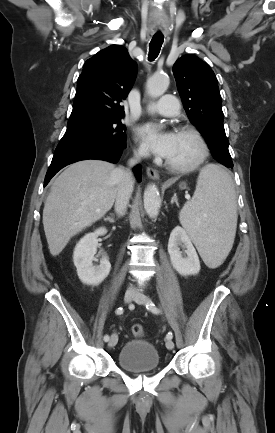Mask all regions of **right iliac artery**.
Instances as JSON below:
<instances>
[{
	"instance_id": "1",
	"label": "right iliac artery",
	"mask_w": 275,
	"mask_h": 433,
	"mask_svg": "<svg viewBox=\"0 0 275 433\" xmlns=\"http://www.w3.org/2000/svg\"><path fill=\"white\" fill-rule=\"evenodd\" d=\"M115 312H116V314L121 315V314H123L124 309L122 307H119V308L116 309ZM104 341L105 342L109 341V336L108 335L104 336Z\"/></svg>"
}]
</instances>
